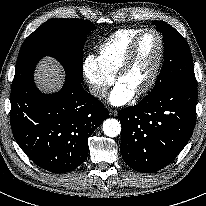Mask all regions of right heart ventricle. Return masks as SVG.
I'll list each match as a JSON object with an SVG mask.
<instances>
[{
	"label": "right heart ventricle",
	"instance_id": "e07e8e85",
	"mask_svg": "<svg viewBox=\"0 0 206 206\" xmlns=\"http://www.w3.org/2000/svg\"><path fill=\"white\" fill-rule=\"evenodd\" d=\"M144 29L125 28L113 33L98 50L97 59L104 70L115 75L133 39Z\"/></svg>",
	"mask_w": 206,
	"mask_h": 206
}]
</instances>
